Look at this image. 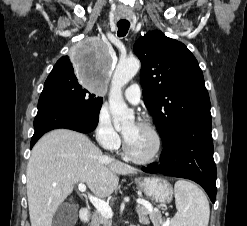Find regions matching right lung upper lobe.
Masks as SVG:
<instances>
[{"label": "right lung upper lobe", "instance_id": "right-lung-upper-lobe-1", "mask_svg": "<svg viewBox=\"0 0 247 226\" xmlns=\"http://www.w3.org/2000/svg\"><path fill=\"white\" fill-rule=\"evenodd\" d=\"M68 60H69L68 56H63V57H61V58L57 61V63L55 64L54 67H57V66L61 65L62 63L67 62Z\"/></svg>", "mask_w": 247, "mask_h": 226}]
</instances>
